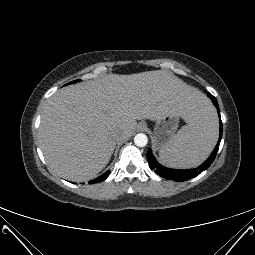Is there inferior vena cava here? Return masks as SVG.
Wrapping results in <instances>:
<instances>
[{
    "mask_svg": "<svg viewBox=\"0 0 255 255\" xmlns=\"http://www.w3.org/2000/svg\"><path fill=\"white\" fill-rule=\"evenodd\" d=\"M113 137L116 141H120V140H122L123 135L119 131H117L114 133Z\"/></svg>",
    "mask_w": 255,
    "mask_h": 255,
    "instance_id": "obj_1",
    "label": "inferior vena cava"
}]
</instances>
